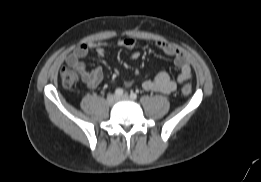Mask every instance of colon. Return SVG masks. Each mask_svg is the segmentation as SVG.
Segmentation results:
<instances>
[{
  "label": "colon",
  "instance_id": "obj_1",
  "mask_svg": "<svg viewBox=\"0 0 261 182\" xmlns=\"http://www.w3.org/2000/svg\"><path fill=\"white\" fill-rule=\"evenodd\" d=\"M60 78L63 86L67 88H71L74 86L78 81V74L68 68H63L60 72ZM192 87L189 83H186L182 86V93L183 95L187 96L191 93Z\"/></svg>",
  "mask_w": 261,
  "mask_h": 182
}]
</instances>
